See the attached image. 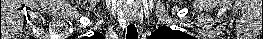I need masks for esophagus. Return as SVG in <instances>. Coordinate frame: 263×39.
<instances>
[{"mask_svg": "<svg viewBox=\"0 0 263 39\" xmlns=\"http://www.w3.org/2000/svg\"><path fill=\"white\" fill-rule=\"evenodd\" d=\"M129 21H130V22H135L136 19H135V18H129Z\"/></svg>", "mask_w": 263, "mask_h": 39, "instance_id": "obj_1", "label": "esophagus"}]
</instances>
